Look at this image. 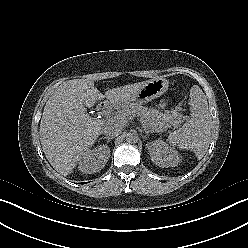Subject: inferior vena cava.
<instances>
[{"mask_svg": "<svg viewBox=\"0 0 248 248\" xmlns=\"http://www.w3.org/2000/svg\"><path fill=\"white\" fill-rule=\"evenodd\" d=\"M122 126L118 125V124H112V125H108L104 128L103 132L107 137H117L118 135H120L122 133Z\"/></svg>", "mask_w": 248, "mask_h": 248, "instance_id": "602c4592", "label": "inferior vena cava"}]
</instances>
